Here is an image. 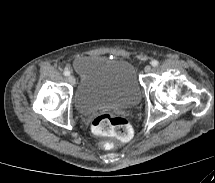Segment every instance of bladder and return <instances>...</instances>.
<instances>
[{"label": "bladder", "instance_id": "31cf9c89", "mask_svg": "<svg viewBox=\"0 0 215 183\" xmlns=\"http://www.w3.org/2000/svg\"><path fill=\"white\" fill-rule=\"evenodd\" d=\"M79 77L74 105L82 114L110 108H129L140 100V85L134 66L123 59L86 55L75 59Z\"/></svg>", "mask_w": 215, "mask_h": 183}]
</instances>
